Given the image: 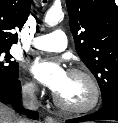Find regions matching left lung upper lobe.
Wrapping results in <instances>:
<instances>
[{"label": "left lung upper lobe", "mask_w": 118, "mask_h": 123, "mask_svg": "<svg viewBox=\"0 0 118 123\" xmlns=\"http://www.w3.org/2000/svg\"><path fill=\"white\" fill-rule=\"evenodd\" d=\"M66 5L76 51L106 104L118 95V7L114 0H66Z\"/></svg>", "instance_id": "left-lung-upper-lobe-1"}]
</instances>
